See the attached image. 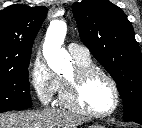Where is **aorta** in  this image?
I'll list each match as a JSON object with an SVG mask.
<instances>
[{
    "label": "aorta",
    "instance_id": "762f6f07",
    "mask_svg": "<svg viewBox=\"0 0 142 128\" xmlns=\"http://www.w3.org/2000/svg\"><path fill=\"white\" fill-rule=\"evenodd\" d=\"M67 33V25L63 20L51 22L43 45V54L49 67L56 73L64 72L72 67L71 56L62 49Z\"/></svg>",
    "mask_w": 142,
    "mask_h": 128
}]
</instances>
